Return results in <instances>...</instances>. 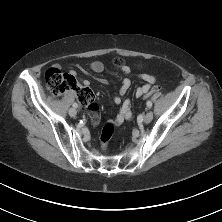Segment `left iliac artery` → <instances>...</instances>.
I'll return each instance as SVG.
<instances>
[{"instance_id":"obj_1","label":"left iliac artery","mask_w":222,"mask_h":222,"mask_svg":"<svg viewBox=\"0 0 222 222\" xmlns=\"http://www.w3.org/2000/svg\"><path fill=\"white\" fill-rule=\"evenodd\" d=\"M146 104H147V107H148V108H151V107H152V102H151L150 100H148Z\"/></svg>"}]
</instances>
